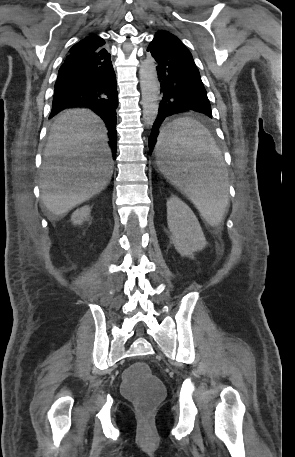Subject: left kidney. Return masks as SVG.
I'll return each instance as SVG.
<instances>
[{
    "mask_svg": "<svg viewBox=\"0 0 295 457\" xmlns=\"http://www.w3.org/2000/svg\"><path fill=\"white\" fill-rule=\"evenodd\" d=\"M167 223L175 249L191 257L206 246V239L193 211L178 197L167 200Z\"/></svg>",
    "mask_w": 295,
    "mask_h": 457,
    "instance_id": "1",
    "label": "left kidney"
}]
</instances>
